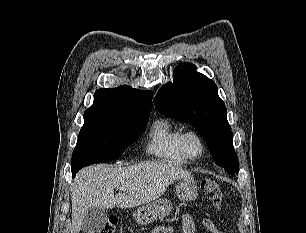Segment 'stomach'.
Listing matches in <instances>:
<instances>
[{
  "mask_svg": "<svg viewBox=\"0 0 306 233\" xmlns=\"http://www.w3.org/2000/svg\"><path fill=\"white\" fill-rule=\"evenodd\" d=\"M176 193L181 201L194 200L198 194V187L193 177L179 179L176 185ZM172 208L173 204L170 200L161 198L139 207L133 217L138 224H149L168 216Z\"/></svg>",
  "mask_w": 306,
  "mask_h": 233,
  "instance_id": "0dacf381",
  "label": "stomach"
}]
</instances>
